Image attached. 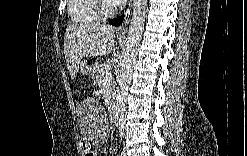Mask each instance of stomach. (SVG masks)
Here are the masks:
<instances>
[{"label": "stomach", "mask_w": 247, "mask_h": 156, "mask_svg": "<svg viewBox=\"0 0 247 156\" xmlns=\"http://www.w3.org/2000/svg\"><path fill=\"white\" fill-rule=\"evenodd\" d=\"M96 65H97V63L89 65L87 60H82L80 62V70L82 73H85V74L90 73L92 76L96 70Z\"/></svg>", "instance_id": "stomach-1"}]
</instances>
